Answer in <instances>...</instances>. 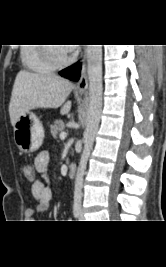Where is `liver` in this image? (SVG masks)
I'll list each match as a JSON object with an SVG mask.
<instances>
[{
  "instance_id": "liver-1",
  "label": "liver",
  "mask_w": 166,
  "mask_h": 267,
  "mask_svg": "<svg viewBox=\"0 0 166 267\" xmlns=\"http://www.w3.org/2000/svg\"><path fill=\"white\" fill-rule=\"evenodd\" d=\"M72 89L71 82L53 73L20 71L16 76L9 104L12 126L22 114L36 108L62 106L60 113L67 114L71 109V101H65Z\"/></svg>"
}]
</instances>
